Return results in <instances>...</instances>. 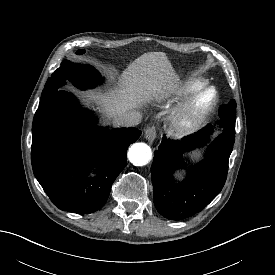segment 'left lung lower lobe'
I'll return each instance as SVG.
<instances>
[{
	"mask_svg": "<svg viewBox=\"0 0 275 275\" xmlns=\"http://www.w3.org/2000/svg\"><path fill=\"white\" fill-rule=\"evenodd\" d=\"M219 116L217 124L223 133L208 146L205 159L190 170L183 183L177 184L173 178L174 171L184 165L183 152L207 144L213 126L209 124L181 141L163 137L155 151L151 166L154 204L165 218L181 220L191 217L204 209L222 190L235 142V125L223 120L221 114Z\"/></svg>",
	"mask_w": 275,
	"mask_h": 275,
	"instance_id": "left-lung-lower-lobe-1",
	"label": "left lung lower lobe"
}]
</instances>
